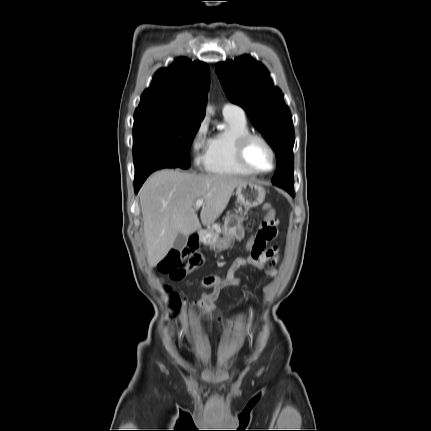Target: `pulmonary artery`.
<instances>
[{"label": "pulmonary artery", "instance_id": "e3ab8cb5", "mask_svg": "<svg viewBox=\"0 0 431 431\" xmlns=\"http://www.w3.org/2000/svg\"><path fill=\"white\" fill-rule=\"evenodd\" d=\"M223 115H234L238 117H245L243 109L232 103H225L222 107Z\"/></svg>", "mask_w": 431, "mask_h": 431}]
</instances>
